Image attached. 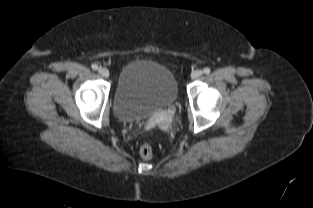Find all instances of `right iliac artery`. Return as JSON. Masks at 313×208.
Instances as JSON below:
<instances>
[{"label": "right iliac artery", "instance_id": "82829eb1", "mask_svg": "<svg viewBox=\"0 0 313 208\" xmlns=\"http://www.w3.org/2000/svg\"><path fill=\"white\" fill-rule=\"evenodd\" d=\"M91 67H92L93 70H97L98 69V65L97 64H92Z\"/></svg>", "mask_w": 313, "mask_h": 208}]
</instances>
